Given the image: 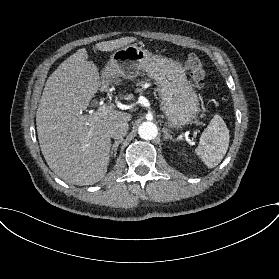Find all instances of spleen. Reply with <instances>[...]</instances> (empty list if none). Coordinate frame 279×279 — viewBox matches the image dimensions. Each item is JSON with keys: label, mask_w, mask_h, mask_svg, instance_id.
Masks as SVG:
<instances>
[{"label": "spleen", "mask_w": 279, "mask_h": 279, "mask_svg": "<svg viewBox=\"0 0 279 279\" xmlns=\"http://www.w3.org/2000/svg\"><path fill=\"white\" fill-rule=\"evenodd\" d=\"M229 140V129L224 120L219 115H215L201 134L195 152L208 168H214L225 156Z\"/></svg>", "instance_id": "1"}]
</instances>
